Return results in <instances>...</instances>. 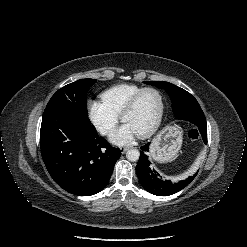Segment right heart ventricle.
<instances>
[{"label":"right heart ventricle","instance_id":"e07e8e85","mask_svg":"<svg viewBox=\"0 0 247 247\" xmlns=\"http://www.w3.org/2000/svg\"><path fill=\"white\" fill-rule=\"evenodd\" d=\"M144 89L134 84H120L105 90L101 94L102 101L116 114L121 115L131 98Z\"/></svg>","mask_w":247,"mask_h":247}]
</instances>
